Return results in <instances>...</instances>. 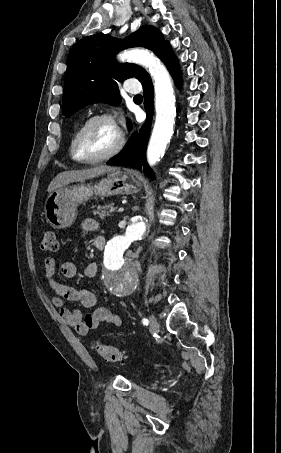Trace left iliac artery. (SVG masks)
I'll use <instances>...</instances> for the list:
<instances>
[{"label": "left iliac artery", "instance_id": "obj_1", "mask_svg": "<svg viewBox=\"0 0 281 453\" xmlns=\"http://www.w3.org/2000/svg\"><path fill=\"white\" fill-rule=\"evenodd\" d=\"M149 321L147 319H143V324L148 325Z\"/></svg>", "mask_w": 281, "mask_h": 453}]
</instances>
